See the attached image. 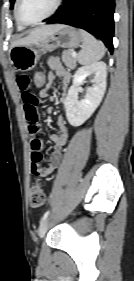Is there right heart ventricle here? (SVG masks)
Returning <instances> with one entry per match:
<instances>
[{
	"instance_id": "obj_1",
	"label": "right heart ventricle",
	"mask_w": 134,
	"mask_h": 281,
	"mask_svg": "<svg viewBox=\"0 0 134 281\" xmlns=\"http://www.w3.org/2000/svg\"><path fill=\"white\" fill-rule=\"evenodd\" d=\"M17 28H18L19 30H23V29H24V26L17 22Z\"/></svg>"
}]
</instances>
